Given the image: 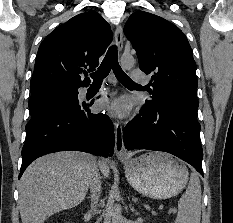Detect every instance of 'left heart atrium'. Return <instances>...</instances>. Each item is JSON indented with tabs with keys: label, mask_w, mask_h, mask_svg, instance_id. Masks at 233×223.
I'll list each match as a JSON object with an SVG mask.
<instances>
[{
	"label": "left heart atrium",
	"mask_w": 233,
	"mask_h": 223,
	"mask_svg": "<svg viewBox=\"0 0 233 223\" xmlns=\"http://www.w3.org/2000/svg\"><path fill=\"white\" fill-rule=\"evenodd\" d=\"M101 110L110 116L124 119L131 112V105L126 97H117L110 101H103L101 103Z\"/></svg>",
	"instance_id": "left-heart-atrium-1"
}]
</instances>
